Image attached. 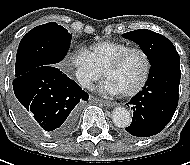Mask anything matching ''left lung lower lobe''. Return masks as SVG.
Instances as JSON below:
<instances>
[{
  "label": "left lung lower lobe",
  "instance_id": "1",
  "mask_svg": "<svg viewBox=\"0 0 190 165\" xmlns=\"http://www.w3.org/2000/svg\"><path fill=\"white\" fill-rule=\"evenodd\" d=\"M180 77L178 54L151 64L146 85L128 103L134 110L132 123L125 128L128 133L149 137L164 129L178 105Z\"/></svg>",
  "mask_w": 190,
  "mask_h": 165
}]
</instances>
